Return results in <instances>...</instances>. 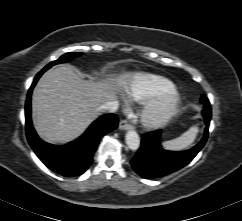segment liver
Returning <instances> with one entry per match:
<instances>
[{
    "mask_svg": "<svg viewBox=\"0 0 242 221\" xmlns=\"http://www.w3.org/2000/svg\"><path fill=\"white\" fill-rule=\"evenodd\" d=\"M127 86L128 75L118 79ZM113 79L84 80L69 66L42 75L32 95V115L38 135L52 144H65L79 137L100 115V106L116 99Z\"/></svg>",
    "mask_w": 242,
    "mask_h": 221,
    "instance_id": "6515ba94",
    "label": "liver"
}]
</instances>
